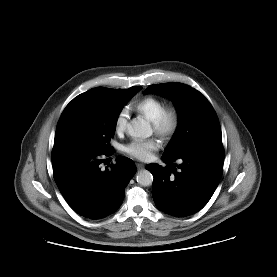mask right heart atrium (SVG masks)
<instances>
[{
    "label": "right heart atrium",
    "instance_id": "1",
    "mask_svg": "<svg viewBox=\"0 0 277 277\" xmlns=\"http://www.w3.org/2000/svg\"><path fill=\"white\" fill-rule=\"evenodd\" d=\"M128 115L126 110H121L115 117L114 129L117 134H121L126 130Z\"/></svg>",
    "mask_w": 277,
    "mask_h": 277
}]
</instances>
